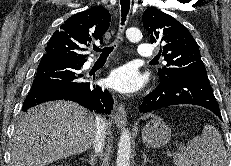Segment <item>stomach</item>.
Wrapping results in <instances>:
<instances>
[{
	"instance_id": "obj_1",
	"label": "stomach",
	"mask_w": 231,
	"mask_h": 166,
	"mask_svg": "<svg viewBox=\"0 0 231 166\" xmlns=\"http://www.w3.org/2000/svg\"><path fill=\"white\" fill-rule=\"evenodd\" d=\"M141 137L146 146L161 147L169 142L171 129L160 117L154 116L143 128Z\"/></svg>"
}]
</instances>
